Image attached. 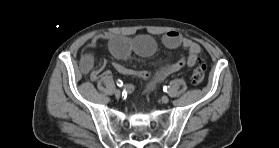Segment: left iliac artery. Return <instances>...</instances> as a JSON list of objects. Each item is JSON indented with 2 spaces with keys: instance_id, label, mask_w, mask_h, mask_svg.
<instances>
[{
  "instance_id": "1",
  "label": "left iliac artery",
  "mask_w": 279,
  "mask_h": 148,
  "mask_svg": "<svg viewBox=\"0 0 279 148\" xmlns=\"http://www.w3.org/2000/svg\"><path fill=\"white\" fill-rule=\"evenodd\" d=\"M163 91H164V92H168V91H169V87H168V86H164V87H163Z\"/></svg>"
}]
</instances>
